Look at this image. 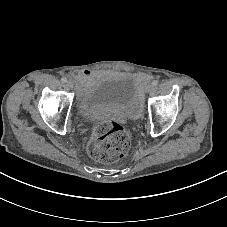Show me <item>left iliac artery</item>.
Segmentation results:
<instances>
[{"label": "left iliac artery", "instance_id": "obj_1", "mask_svg": "<svg viewBox=\"0 0 227 227\" xmlns=\"http://www.w3.org/2000/svg\"><path fill=\"white\" fill-rule=\"evenodd\" d=\"M158 85V81L157 80H154L153 82H152V86H157Z\"/></svg>", "mask_w": 227, "mask_h": 227}]
</instances>
